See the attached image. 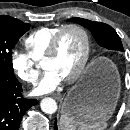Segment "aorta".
Instances as JSON below:
<instances>
[{
  "label": "aorta",
  "mask_w": 130,
  "mask_h": 130,
  "mask_svg": "<svg viewBox=\"0 0 130 130\" xmlns=\"http://www.w3.org/2000/svg\"><path fill=\"white\" fill-rule=\"evenodd\" d=\"M41 110L47 114H53L57 111V103L54 99L47 97L40 103Z\"/></svg>",
  "instance_id": "aorta-1"
}]
</instances>
